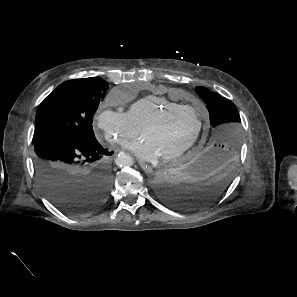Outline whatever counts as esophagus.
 Returning a JSON list of instances; mask_svg holds the SVG:
<instances>
[{"mask_svg": "<svg viewBox=\"0 0 297 297\" xmlns=\"http://www.w3.org/2000/svg\"><path fill=\"white\" fill-rule=\"evenodd\" d=\"M139 164H140V166H141V168L143 169L144 172H146L148 174L152 173L153 169H152V167L150 165H148V164H146L144 162H140Z\"/></svg>", "mask_w": 297, "mask_h": 297, "instance_id": "34e87169", "label": "esophagus"}]
</instances>
